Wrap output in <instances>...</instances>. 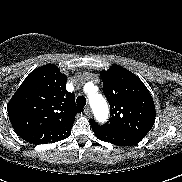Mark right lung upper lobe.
<instances>
[{"mask_svg":"<svg viewBox=\"0 0 182 182\" xmlns=\"http://www.w3.org/2000/svg\"><path fill=\"white\" fill-rule=\"evenodd\" d=\"M66 75L54 64L33 70L8 103L10 122L23 140L46 144L69 137L75 115L83 109L66 90Z\"/></svg>","mask_w":182,"mask_h":182,"instance_id":"right-lung-upper-lobe-1","label":"right lung upper lobe"}]
</instances>
